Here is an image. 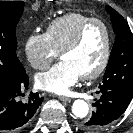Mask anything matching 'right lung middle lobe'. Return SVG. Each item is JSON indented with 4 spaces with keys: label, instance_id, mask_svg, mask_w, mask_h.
Returning <instances> with one entry per match:
<instances>
[{
    "label": "right lung middle lobe",
    "instance_id": "obj_1",
    "mask_svg": "<svg viewBox=\"0 0 133 133\" xmlns=\"http://www.w3.org/2000/svg\"><path fill=\"white\" fill-rule=\"evenodd\" d=\"M24 8V2L0 1V83L18 76L23 65L16 56V25Z\"/></svg>",
    "mask_w": 133,
    "mask_h": 133
}]
</instances>
